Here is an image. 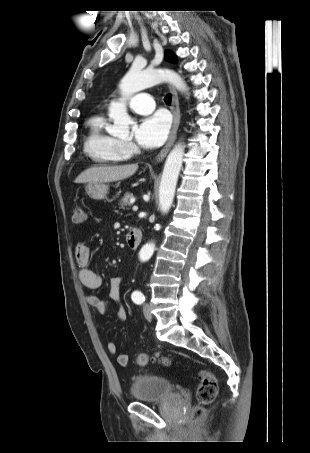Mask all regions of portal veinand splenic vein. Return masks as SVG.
Returning <instances> with one entry per match:
<instances>
[{"label":"portal vein and splenic vein","mask_w":310,"mask_h":453,"mask_svg":"<svg viewBox=\"0 0 310 453\" xmlns=\"http://www.w3.org/2000/svg\"><path fill=\"white\" fill-rule=\"evenodd\" d=\"M133 211H137L138 210V207L137 206H133Z\"/></svg>","instance_id":"1"}]
</instances>
